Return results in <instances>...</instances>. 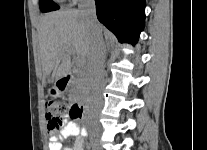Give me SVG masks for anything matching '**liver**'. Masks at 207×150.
<instances>
[{"mask_svg":"<svg viewBox=\"0 0 207 150\" xmlns=\"http://www.w3.org/2000/svg\"><path fill=\"white\" fill-rule=\"evenodd\" d=\"M99 30L102 33L100 24ZM38 34L42 70L48 83L71 72L72 54H76L77 60L84 65L88 64L92 32L80 10H61L44 15Z\"/></svg>","mask_w":207,"mask_h":150,"instance_id":"liver-1","label":"liver"}]
</instances>
